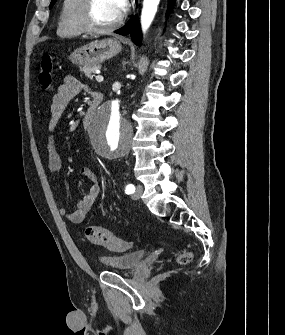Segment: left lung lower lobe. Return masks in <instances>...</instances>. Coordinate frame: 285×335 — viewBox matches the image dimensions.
Returning <instances> with one entry per match:
<instances>
[{
	"label": "left lung lower lobe",
	"mask_w": 285,
	"mask_h": 335,
	"mask_svg": "<svg viewBox=\"0 0 285 335\" xmlns=\"http://www.w3.org/2000/svg\"><path fill=\"white\" fill-rule=\"evenodd\" d=\"M174 0H168V10L170 11V8L173 4ZM115 33L121 34V35H131V39L134 43L138 44L140 37H141V31H140V24L138 22L137 16L135 18L131 17V19L120 29L116 30Z\"/></svg>",
	"instance_id": "1"
}]
</instances>
